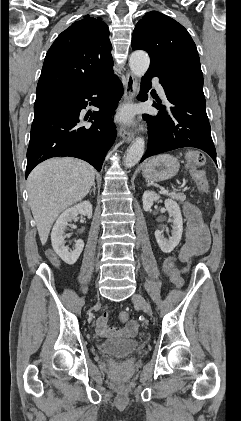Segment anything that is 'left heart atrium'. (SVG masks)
Returning <instances> with one entry per match:
<instances>
[{
    "instance_id": "left-heart-atrium-1",
    "label": "left heart atrium",
    "mask_w": 241,
    "mask_h": 421,
    "mask_svg": "<svg viewBox=\"0 0 241 421\" xmlns=\"http://www.w3.org/2000/svg\"><path fill=\"white\" fill-rule=\"evenodd\" d=\"M119 117L122 121L129 122L131 120V117H132V112H131L130 109H127V108L123 109L120 112Z\"/></svg>"
}]
</instances>
